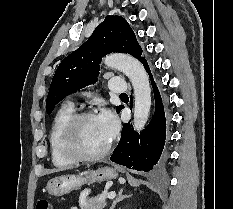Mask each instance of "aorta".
Here are the masks:
<instances>
[{
  "label": "aorta",
  "mask_w": 233,
  "mask_h": 209,
  "mask_svg": "<svg viewBox=\"0 0 233 209\" xmlns=\"http://www.w3.org/2000/svg\"><path fill=\"white\" fill-rule=\"evenodd\" d=\"M103 61L107 67L122 71L130 79L134 89L133 126L136 131H141L151 107V87L144 67L137 59L125 54H112Z\"/></svg>",
  "instance_id": "obj_1"
}]
</instances>
